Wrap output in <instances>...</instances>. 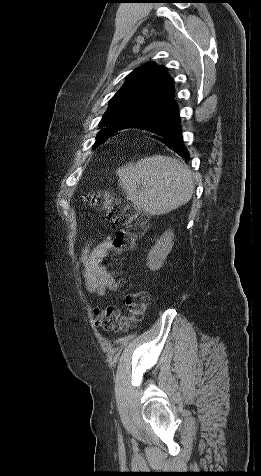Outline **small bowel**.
<instances>
[{
    "mask_svg": "<svg viewBox=\"0 0 261 476\" xmlns=\"http://www.w3.org/2000/svg\"><path fill=\"white\" fill-rule=\"evenodd\" d=\"M111 247V241L107 238L95 245L86 247L83 251L84 278L86 287L91 293L104 295L107 291L117 287L113 276L103 265Z\"/></svg>",
    "mask_w": 261,
    "mask_h": 476,
    "instance_id": "1",
    "label": "small bowel"
}]
</instances>
